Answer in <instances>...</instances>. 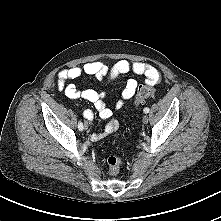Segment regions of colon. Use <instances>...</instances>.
<instances>
[{"instance_id": "1", "label": "colon", "mask_w": 221, "mask_h": 221, "mask_svg": "<svg viewBox=\"0 0 221 221\" xmlns=\"http://www.w3.org/2000/svg\"><path fill=\"white\" fill-rule=\"evenodd\" d=\"M154 93L155 89L153 86L151 85L140 86L136 94L135 103L136 104L141 103L143 100L152 97ZM107 163L109 166L110 173L112 175H116L119 172L123 161L121 157L116 155H111L107 158Z\"/></svg>"}]
</instances>
